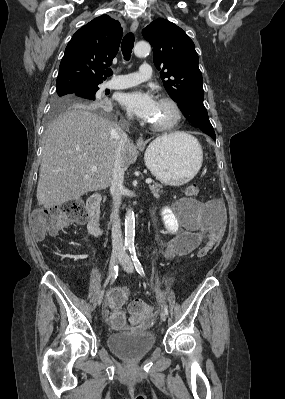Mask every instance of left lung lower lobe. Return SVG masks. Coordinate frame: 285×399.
<instances>
[{"label":"left lung lower lobe","instance_id":"1","mask_svg":"<svg viewBox=\"0 0 285 399\" xmlns=\"http://www.w3.org/2000/svg\"><path fill=\"white\" fill-rule=\"evenodd\" d=\"M214 140L216 139V136H215V134L214 135H210Z\"/></svg>","mask_w":285,"mask_h":399}]
</instances>
